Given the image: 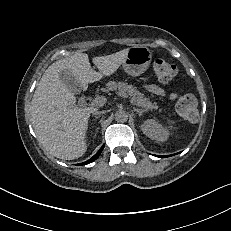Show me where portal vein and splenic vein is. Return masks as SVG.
Returning <instances> with one entry per match:
<instances>
[{
    "mask_svg": "<svg viewBox=\"0 0 231 231\" xmlns=\"http://www.w3.org/2000/svg\"><path fill=\"white\" fill-rule=\"evenodd\" d=\"M117 95L123 97V98H128V95L125 92H117ZM107 99L104 96H99L93 99L92 105L93 106H102L106 103Z\"/></svg>",
    "mask_w": 231,
    "mask_h": 231,
    "instance_id": "obj_1",
    "label": "portal vein and splenic vein"
}]
</instances>
